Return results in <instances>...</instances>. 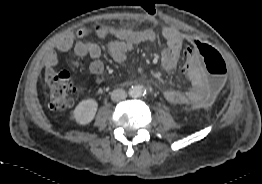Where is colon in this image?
<instances>
[{"label":"colon","instance_id":"colon-1","mask_svg":"<svg viewBox=\"0 0 262 184\" xmlns=\"http://www.w3.org/2000/svg\"><path fill=\"white\" fill-rule=\"evenodd\" d=\"M194 50L203 63L207 77V88L214 97L224 87L227 67L220 53L212 46L195 40ZM49 105L52 109L61 110L69 107L75 98L76 87L67 71L52 73L48 78Z\"/></svg>","mask_w":262,"mask_h":184}]
</instances>
